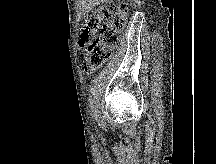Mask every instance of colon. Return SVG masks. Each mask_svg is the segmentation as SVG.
Returning <instances> with one entry per match:
<instances>
[{
  "label": "colon",
  "instance_id": "obj_1",
  "mask_svg": "<svg viewBox=\"0 0 216 164\" xmlns=\"http://www.w3.org/2000/svg\"><path fill=\"white\" fill-rule=\"evenodd\" d=\"M128 5L110 2L89 16L79 33L78 44L84 48L86 73L101 67L118 45L127 22Z\"/></svg>",
  "mask_w": 216,
  "mask_h": 164
}]
</instances>
